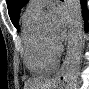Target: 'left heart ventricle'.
Here are the masks:
<instances>
[{
    "mask_svg": "<svg viewBox=\"0 0 89 89\" xmlns=\"http://www.w3.org/2000/svg\"><path fill=\"white\" fill-rule=\"evenodd\" d=\"M41 31L47 38L52 40V38H51V26L50 25L43 26L41 28Z\"/></svg>",
    "mask_w": 89,
    "mask_h": 89,
    "instance_id": "obj_1",
    "label": "left heart ventricle"
}]
</instances>
